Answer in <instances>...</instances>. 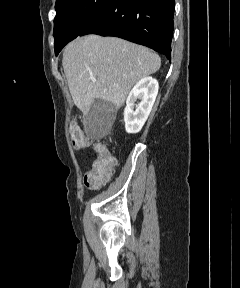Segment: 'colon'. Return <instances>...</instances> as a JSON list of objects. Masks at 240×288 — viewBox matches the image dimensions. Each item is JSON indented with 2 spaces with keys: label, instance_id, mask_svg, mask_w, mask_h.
I'll use <instances>...</instances> for the list:
<instances>
[{
  "label": "colon",
  "instance_id": "1",
  "mask_svg": "<svg viewBox=\"0 0 240 288\" xmlns=\"http://www.w3.org/2000/svg\"><path fill=\"white\" fill-rule=\"evenodd\" d=\"M69 133L73 147L83 148L87 145V140L77 124H70ZM94 149L97 157L84 177V184L89 189H98L107 183L116 164L115 158L104 145L95 144Z\"/></svg>",
  "mask_w": 240,
  "mask_h": 288
}]
</instances>
